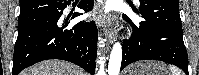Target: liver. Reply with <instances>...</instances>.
<instances>
[{"label": "liver", "mask_w": 199, "mask_h": 75, "mask_svg": "<svg viewBox=\"0 0 199 75\" xmlns=\"http://www.w3.org/2000/svg\"><path fill=\"white\" fill-rule=\"evenodd\" d=\"M20 75H85V72L69 62L46 60L22 71Z\"/></svg>", "instance_id": "obj_1"}]
</instances>
